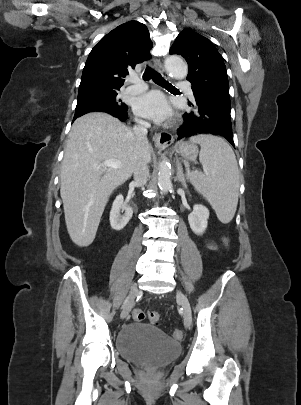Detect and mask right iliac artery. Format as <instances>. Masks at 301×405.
Wrapping results in <instances>:
<instances>
[{"mask_svg":"<svg viewBox=\"0 0 301 405\" xmlns=\"http://www.w3.org/2000/svg\"><path fill=\"white\" fill-rule=\"evenodd\" d=\"M128 299H129V297L126 298V300H125V302H124V304H123V307H124V305L127 303Z\"/></svg>","mask_w":301,"mask_h":405,"instance_id":"1","label":"right iliac artery"}]
</instances>
